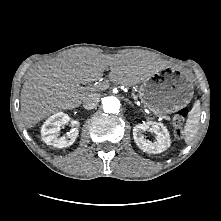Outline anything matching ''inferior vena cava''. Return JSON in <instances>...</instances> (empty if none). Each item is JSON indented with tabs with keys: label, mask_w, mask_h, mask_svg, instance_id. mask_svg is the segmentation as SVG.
I'll list each match as a JSON object with an SVG mask.
<instances>
[{
	"label": "inferior vena cava",
	"mask_w": 221,
	"mask_h": 221,
	"mask_svg": "<svg viewBox=\"0 0 221 221\" xmlns=\"http://www.w3.org/2000/svg\"><path fill=\"white\" fill-rule=\"evenodd\" d=\"M99 102V95L98 94H91L88 95L84 100H83V107L87 110L94 109Z\"/></svg>",
	"instance_id": "1"
}]
</instances>
